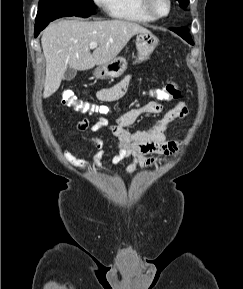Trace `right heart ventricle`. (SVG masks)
<instances>
[{"label":"right heart ventricle","mask_w":243,"mask_h":289,"mask_svg":"<svg viewBox=\"0 0 243 289\" xmlns=\"http://www.w3.org/2000/svg\"><path fill=\"white\" fill-rule=\"evenodd\" d=\"M108 10L112 17L121 20L139 23L155 20L144 12L140 0H111Z\"/></svg>","instance_id":"e07e8e85"}]
</instances>
